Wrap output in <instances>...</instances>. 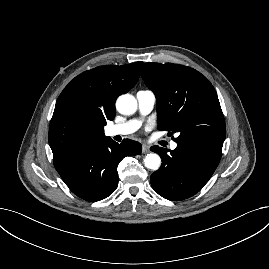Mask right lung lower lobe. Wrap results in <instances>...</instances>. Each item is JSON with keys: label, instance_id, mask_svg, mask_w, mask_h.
<instances>
[{"label": "right lung lower lobe", "instance_id": "right-lung-lower-lobe-1", "mask_svg": "<svg viewBox=\"0 0 269 269\" xmlns=\"http://www.w3.org/2000/svg\"><path fill=\"white\" fill-rule=\"evenodd\" d=\"M141 151L139 142L124 139L118 144L106 137L54 158V166L75 195L96 202L117 188V166L121 159Z\"/></svg>", "mask_w": 269, "mask_h": 269}]
</instances>
